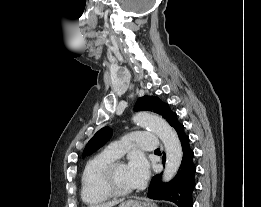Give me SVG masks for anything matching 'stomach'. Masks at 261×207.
<instances>
[{"label": "stomach", "instance_id": "0dacf381", "mask_svg": "<svg viewBox=\"0 0 261 207\" xmlns=\"http://www.w3.org/2000/svg\"><path fill=\"white\" fill-rule=\"evenodd\" d=\"M118 207H157V205L146 199H141V200L130 199L120 203Z\"/></svg>", "mask_w": 261, "mask_h": 207}]
</instances>
